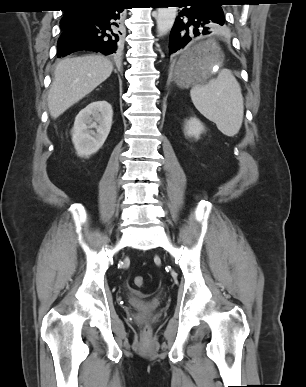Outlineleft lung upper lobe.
Returning a JSON list of instances; mask_svg holds the SVG:
<instances>
[{
	"label": "left lung upper lobe",
	"mask_w": 306,
	"mask_h": 387,
	"mask_svg": "<svg viewBox=\"0 0 306 387\" xmlns=\"http://www.w3.org/2000/svg\"><path fill=\"white\" fill-rule=\"evenodd\" d=\"M214 1H219V2H222V0H214Z\"/></svg>",
	"instance_id": "obj_1"
}]
</instances>
